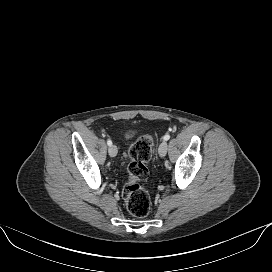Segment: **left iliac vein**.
I'll use <instances>...</instances> for the list:
<instances>
[{"mask_svg": "<svg viewBox=\"0 0 272 272\" xmlns=\"http://www.w3.org/2000/svg\"><path fill=\"white\" fill-rule=\"evenodd\" d=\"M167 150H168V144L166 141H163L158 148V153L160 157H164L167 153Z\"/></svg>", "mask_w": 272, "mask_h": 272, "instance_id": "left-iliac-vein-1", "label": "left iliac vein"}]
</instances>
